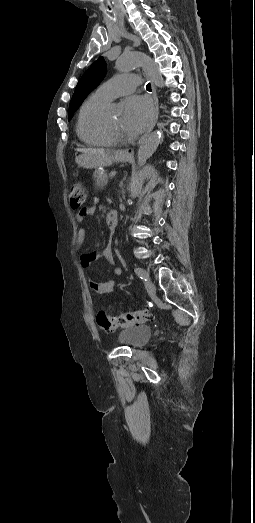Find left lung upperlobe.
<instances>
[{
	"label": "left lung upper lobe",
	"instance_id": "5c2ea615",
	"mask_svg": "<svg viewBox=\"0 0 255 523\" xmlns=\"http://www.w3.org/2000/svg\"><path fill=\"white\" fill-rule=\"evenodd\" d=\"M105 74L106 63L103 57H100L79 80L70 102L68 120L72 118L74 112L79 108L87 95L100 84Z\"/></svg>",
	"mask_w": 255,
	"mask_h": 523
}]
</instances>
